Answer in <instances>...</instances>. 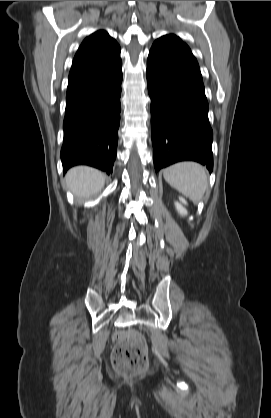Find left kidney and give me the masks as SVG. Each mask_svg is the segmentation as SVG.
Wrapping results in <instances>:
<instances>
[{"label": "left kidney", "instance_id": "1", "mask_svg": "<svg viewBox=\"0 0 271 418\" xmlns=\"http://www.w3.org/2000/svg\"><path fill=\"white\" fill-rule=\"evenodd\" d=\"M179 200H180V202H181V203L176 202V203H175V207H176V209H177L178 213H179L181 216H185V215H187V210L185 209V207H183V205H182V204L186 205V204H187V202H186V200H185L184 198H182V197H179Z\"/></svg>", "mask_w": 271, "mask_h": 418}]
</instances>
